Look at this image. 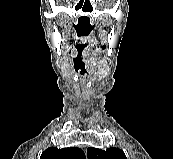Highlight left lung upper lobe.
Wrapping results in <instances>:
<instances>
[{"instance_id": "left-lung-upper-lobe-1", "label": "left lung upper lobe", "mask_w": 173, "mask_h": 159, "mask_svg": "<svg viewBox=\"0 0 173 159\" xmlns=\"http://www.w3.org/2000/svg\"><path fill=\"white\" fill-rule=\"evenodd\" d=\"M88 159H127L119 148H109L106 151L97 148L87 149Z\"/></svg>"}]
</instances>
